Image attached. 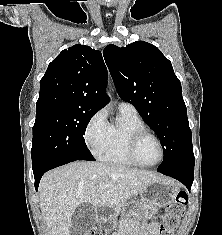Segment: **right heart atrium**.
<instances>
[{"label": "right heart atrium", "mask_w": 222, "mask_h": 235, "mask_svg": "<svg viewBox=\"0 0 222 235\" xmlns=\"http://www.w3.org/2000/svg\"><path fill=\"white\" fill-rule=\"evenodd\" d=\"M108 131V122L103 110L97 111L88 121L84 140L89 150L97 155L105 144Z\"/></svg>", "instance_id": "d8ad5b80"}]
</instances>
